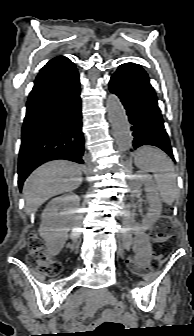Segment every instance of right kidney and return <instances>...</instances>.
<instances>
[{
    "label": "right kidney",
    "instance_id": "ca27d5eb",
    "mask_svg": "<svg viewBox=\"0 0 194 336\" xmlns=\"http://www.w3.org/2000/svg\"><path fill=\"white\" fill-rule=\"evenodd\" d=\"M79 202L78 195L66 194L52 199L44 209L39 234L52 255H57L62 250Z\"/></svg>",
    "mask_w": 194,
    "mask_h": 336
}]
</instances>
